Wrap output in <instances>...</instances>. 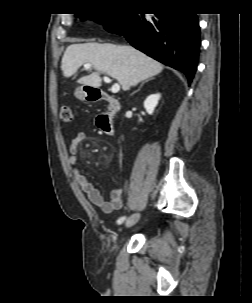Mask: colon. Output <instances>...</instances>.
I'll return each mask as SVG.
<instances>
[{
    "instance_id": "5ec220e1",
    "label": "colon",
    "mask_w": 252,
    "mask_h": 303,
    "mask_svg": "<svg viewBox=\"0 0 252 303\" xmlns=\"http://www.w3.org/2000/svg\"><path fill=\"white\" fill-rule=\"evenodd\" d=\"M60 120L63 123H71L73 121V113L69 106L64 105L60 109Z\"/></svg>"
}]
</instances>
